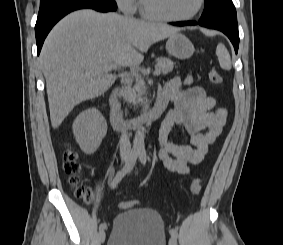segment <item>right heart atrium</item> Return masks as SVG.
<instances>
[{
  "instance_id": "d8ad5b80",
  "label": "right heart atrium",
  "mask_w": 283,
  "mask_h": 245,
  "mask_svg": "<svg viewBox=\"0 0 283 245\" xmlns=\"http://www.w3.org/2000/svg\"><path fill=\"white\" fill-rule=\"evenodd\" d=\"M121 11L126 14H133L137 8L136 0H114Z\"/></svg>"
}]
</instances>
